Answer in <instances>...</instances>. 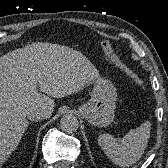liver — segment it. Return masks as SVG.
<instances>
[{
  "label": "liver",
  "mask_w": 168,
  "mask_h": 168,
  "mask_svg": "<svg viewBox=\"0 0 168 168\" xmlns=\"http://www.w3.org/2000/svg\"><path fill=\"white\" fill-rule=\"evenodd\" d=\"M98 79L83 54L59 44L32 43L0 57V164L18 146L30 110H44L50 117L53 98L77 93Z\"/></svg>",
  "instance_id": "obj_1"
}]
</instances>
